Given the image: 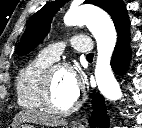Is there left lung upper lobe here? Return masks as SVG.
Masks as SVG:
<instances>
[{"mask_svg": "<svg viewBox=\"0 0 142 128\" xmlns=\"http://www.w3.org/2000/svg\"><path fill=\"white\" fill-rule=\"evenodd\" d=\"M66 2L57 0L47 3L29 20L16 53L25 55L31 52L47 35L55 13ZM84 3L96 5L105 10L112 18L117 32L130 24L126 6L121 0H85Z\"/></svg>", "mask_w": 142, "mask_h": 128, "instance_id": "1", "label": "left lung upper lobe"}]
</instances>
